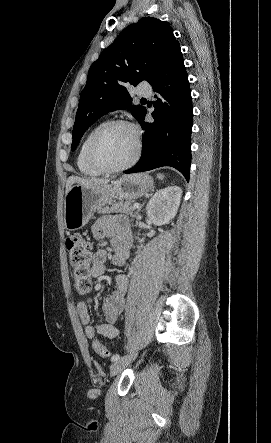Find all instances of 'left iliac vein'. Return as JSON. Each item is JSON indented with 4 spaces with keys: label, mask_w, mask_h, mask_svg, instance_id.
<instances>
[{
    "label": "left iliac vein",
    "mask_w": 271,
    "mask_h": 443,
    "mask_svg": "<svg viewBox=\"0 0 271 443\" xmlns=\"http://www.w3.org/2000/svg\"><path fill=\"white\" fill-rule=\"evenodd\" d=\"M136 357L137 353H132L128 356H125L124 358H120L119 360L115 361L110 366V376H115L120 373L128 364L135 360Z\"/></svg>",
    "instance_id": "4c4485c4"
}]
</instances>
